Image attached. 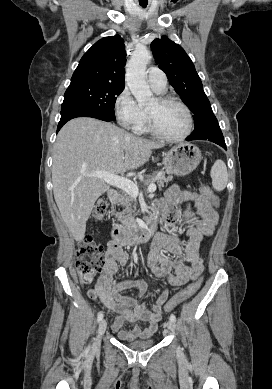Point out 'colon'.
I'll return each instance as SVG.
<instances>
[{
  "mask_svg": "<svg viewBox=\"0 0 272 389\" xmlns=\"http://www.w3.org/2000/svg\"><path fill=\"white\" fill-rule=\"evenodd\" d=\"M201 193L212 204L217 205V198L208 186H201ZM107 209V201L103 199L98 200L93 210L94 217L98 219L102 218L106 214ZM104 264L103 247L90 236L80 240L77 249L76 269L81 282L85 285H91ZM200 286L201 280L188 285L165 304V311L173 310L179 303L193 296Z\"/></svg>",
  "mask_w": 272,
  "mask_h": 389,
  "instance_id": "colon-1",
  "label": "colon"
}]
</instances>
